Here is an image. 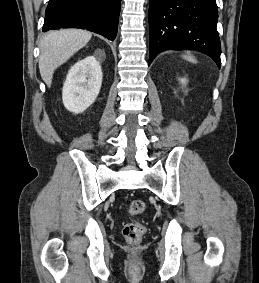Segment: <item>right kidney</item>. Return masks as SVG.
<instances>
[{"label":"right kidney","mask_w":259,"mask_h":283,"mask_svg":"<svg viewBox=\"0 0 259 283\" xmlns=\"http://www.w3.org/2000/svg\"><path fill=\"white\" fill-rule=\"evenodd\" d=\"M102 69L95 56L75 63L69 70L62 90L63 104L75 114L84 112L96 100L102 85Z\"/></svg>","instance_id":"1"}]
</instances>
